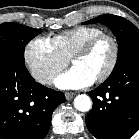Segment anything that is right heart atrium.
Listing matches in <instances>:
<instances>
[{
	"mask_svg": "<svg viewBox=\"0 0 139 139\" xmlns=\"http://www.w3.org/2000/svg\"><path fill=\"white\" fill-rule=\"evenodd\" d=\"M25 64L33 78L41 84H50L68 64L51 39L37 37L24 49Z\"/></svg>",
	"mask_w": 139,
	"mask_h": 139,
	"instance_id": "d8ad5b80",
	"label": "right heart atrium"
}]
</instances>
